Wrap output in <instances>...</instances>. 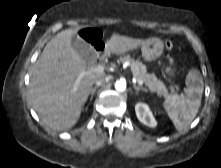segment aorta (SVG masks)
<instances>
[{
  "label": "aorta",
  "instance_id": "1",
  "mask_svg": "<svg viewBox=\"0 0 221 168\" xmlns=\"http://www.w3.org/2000/svg\"><path fill=\"white\" fill-rule=\"evenodd\" d=\"M115 89L118 92H124L126 90V82L123 80H118L115 83Z\"/></svg>",
  "mask_w": 221,
  "mask_h": 168
}]
</instances>
